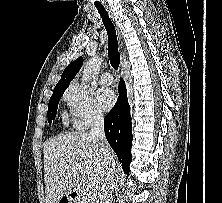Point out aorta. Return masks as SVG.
I'll list each match as a JSON object with an SVG mask.
<instances>
[{"instance_id": "762f6f07", "label": "aorta", "mask_w": 222, "mask_h": 203, "mask_svg": "<svg viewBox=\"0 0 222 203\" xmlns=\"http://www.w3.org/2000/svg\"><path fill=\"white\" fill-rule=\"evenodd\" d=\"M101 64L102 59L99 57H92L86 63L82 75V85L84 87H89L92 78L99 72Z\"/></svg>"}]
</instances>
